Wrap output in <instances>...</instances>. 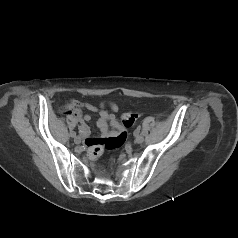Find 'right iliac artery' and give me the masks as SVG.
<instances>
[{"label":"right iliac artery","instance_id":"1","mask_svg":"<svg viewBox=\"0 0 238 238\" xmlns=\"http://www.w3.org/2000/svg\"><path fill=\"white\" fill-rule=\"evenodd\" d=\"M71 136H72V137H76V132H73V133L71 134Z\"/></svg>","mask_w":238,"mask_h":238}]
</instances>
